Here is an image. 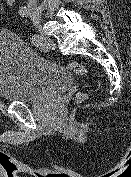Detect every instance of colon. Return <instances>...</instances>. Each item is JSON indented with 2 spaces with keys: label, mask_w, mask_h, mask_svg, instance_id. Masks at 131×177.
I'll return each mask as SVG.
<instances>
[{
  "label": "colon",
  "mask_w": 131,
  "mask_h": 177,
  "mask_svg": "<svg viewBox=\"0 0 131 177\" xmlns=\"http://www.w3.org/2000/svg\"><path fill=\"white\" fill-rule=\"evenodd\" d=\"M16 3V0H0L1 10L4 13H11L15 9ZM65 66L76 74H79L84 77L89 76V70L81 63L67 62L65 63ZM75 97L77 100H83L86 98V94L82 91H78Z\"/></svg>",
  "instance_id": "5ec220e1"
}]
</instances>
